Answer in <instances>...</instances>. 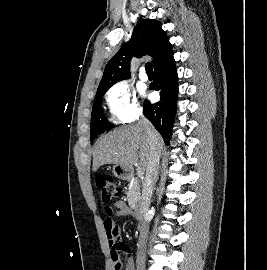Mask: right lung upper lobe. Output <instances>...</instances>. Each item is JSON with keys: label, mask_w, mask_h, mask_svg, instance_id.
I'll return each mask as SVG.
<instances>
[{"label": "right lung upper lobe", "mask_w": 267, "mask_h": 270, "mask_svg": "<svg viewBox=\"0 0 267 270\" xmlns=\"http://www.w3.org/2000/svg\"><path fill=\"white\" fill-rule=\"evenodd\" d=\"M171 47L161 23L156 20L143 19L135 26L131 39L107 63L97 93L109 89L115 83L130 78V61L132 56L138 58L149 55L153 65Z\"/></svg>", "instance_id": "1"}]
</instances>
